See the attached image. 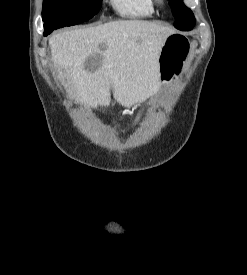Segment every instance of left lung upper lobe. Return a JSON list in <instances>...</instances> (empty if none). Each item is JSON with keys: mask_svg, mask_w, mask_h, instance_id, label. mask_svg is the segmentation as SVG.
<instances>
[{"mask_svg": "<svg viewBox=\"0 0 247 275\" xmlns=\"http://www.w3.org/2000/svg\"><path fill=\"white\" fill-rule=\"evenodd\" d=\"M173 16L176 19L174 26L182 31H189L195 24V18L190 9H188L182 0H170Z\"/></svg>", "mask_w": 247, "mask_h": 275, "instance_id": "5c2ea615", "label": "left lung upper lobe"}]
</instances>
